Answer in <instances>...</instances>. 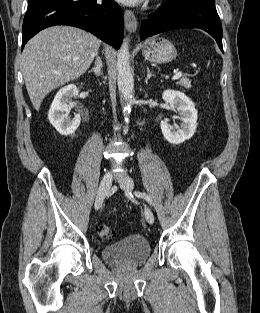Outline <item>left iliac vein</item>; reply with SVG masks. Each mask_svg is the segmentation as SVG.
I'll list each match as a JSON object with an SVG mask.
<instances>
[{"label":"left iliac vein","instance_id":"left-iliac-vein-1","mask_svg":"<svg viewBox=\"0 0 260 313\" xmlns=\"http://www.w3.org/2000/svg\"><path fill=\"white\" fill-rule=\"evenodd\" d=\"M120 186L125 191V193L127 195H129V194H131V192L133 190L134 183H133V180L129 176H125V177L120 179ZM144 215H145L146 221L149 224L154 223V214H153L152 210L147 205L144 206Z\"/></svg>","mask_w":260,"mask_h":313}]
</instances>
